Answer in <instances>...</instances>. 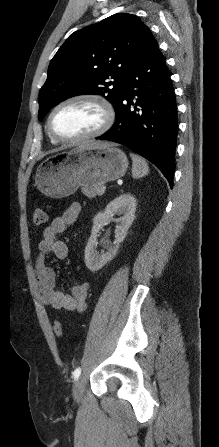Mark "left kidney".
I'll return each instance as SVG.
<instances>
[{
  "label": "left kidney",
  "mask_w": 219,
  "mask_h": 447,
  "mask_svg": "<svg viewBox=\"0 0 219 447\" xmlns=\"http://www.w3.org/2000/svg\"><path fill=\"white\" fill-rule=\"evenodd\" d=\"M135 211L136 199L130 193H124L109 202L104 211L99 212L94 217L91 235L85 248V264L90 271H98L116 256L120 243L125 239L128 229L134 221ZM115 214L120 216L118 220L119 224L115 230L116 240L113 244L109 241H104L103 243L107 251L98 254L96 248L98 245L97 235L99 230Z\"/></svg>",
  "instance_id": "5707ae66"
}]
</instances>
